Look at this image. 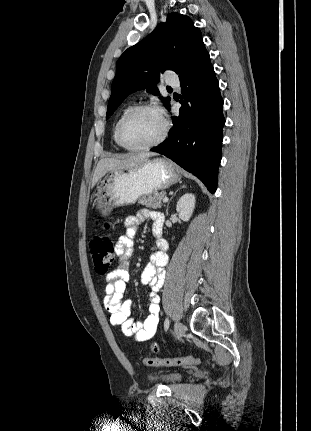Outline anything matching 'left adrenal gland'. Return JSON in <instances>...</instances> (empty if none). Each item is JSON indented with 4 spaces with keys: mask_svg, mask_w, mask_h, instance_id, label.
I'll return each instance as SVG.
<instances>
[{
    "mask_svg": "<svg viewBox=\"0 0 311 431\" xmlns=\"http://www.w3.org/2000/svg\"><path fill=\"white\" fill-rule=\"evenodd\" d=\"M182 188H186V186H181L180 190H182ZM177 192H178V190H177ZM177 192H175V194H173V196H176ZM173 196H172V198H173ZM172 198H170V200H172ZM168 210H169V204H167L166 216H169Z\"/></svg>",
    "mask_w": 311,
    "mask_h": 431,
    "instance_id": "left-adrenal-gland-1",
    "label": "left adrenal gland"
}]
</instances>
